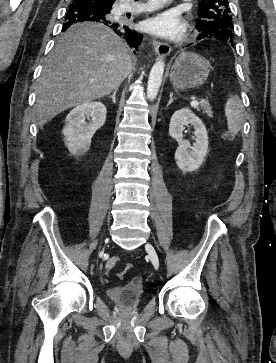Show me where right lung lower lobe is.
<instances>
[{"label": "right lung lower lobe", "mask_w": 276, "mask_h": 363, "mask_svg": "<svg viewBox=\"0 0 276 363\" xmlns=\"http://www.w3.org/2000/svg\"><path fill=\"white\" fill-rule=\"evenodd\" d=\"M92 21L102 23L111 27L113 31L119 36L126 39L129 46L134 47L136 50L143 40V35L127 25L111 20L107 15L95 7L94 4H77V6H70L66 15L65 23L63 24L62 31H65L70 25L77 22Z\"/></svg>", "instance_id": "1"}]
</instances>
